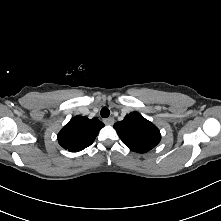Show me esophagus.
Here are the masks:
<instances>
[{
    "mask_svg": "<svg viewBox=\"0 0 221 221\" xmlns=\"http://www.w3.org/2000/svg\"><path fill=\"white\" fill-rule=\"evenodd\" d=\"M103 121L107 125H113L115 120H114V118L109 117V118H105Z\"/></svg>",
    "mask_w": 221,
    "mask_h": 221,
    "instance_id": "obj_1",
    "label": "esophagus"
}]
</instances>
